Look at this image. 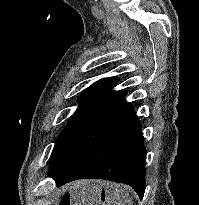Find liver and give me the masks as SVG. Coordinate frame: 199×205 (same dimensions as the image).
<instances>
[{"mask_svg":"<svg viewBox=\"0 0 199 205\" xmlns=\"http://www.w3.org/2000/svg\"><path fill=\"white\" fill-rule=\"evenodd\" d=\"M117 187L118 186L115 188L116 192L114 198H108V200L111 199L115 201L117 205H124L129 202L128 195L124 190L120 191ZM98 203L96 197L83 192L81 195V202H79L78 205H98Z\"/></svg>","mask_w":199,"mask_h":205,"instance_id":"obj_1","label":"liver"}]
</instances>
